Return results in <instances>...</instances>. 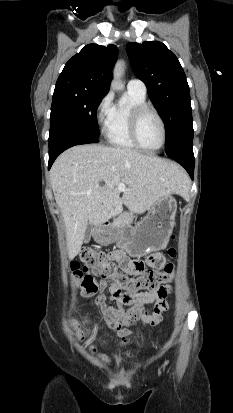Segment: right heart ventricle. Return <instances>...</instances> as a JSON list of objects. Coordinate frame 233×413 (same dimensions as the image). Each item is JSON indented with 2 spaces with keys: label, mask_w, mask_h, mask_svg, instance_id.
<instances>
[{
  "label": "right heart ventricle",
  "mask_w": 233,
  "mask_h": 413,
  "mask_svg": "<svg viewBox=\"0 0 233 413\" xmlns=\"http://www.w3.org/2000/svg\"><path fill=\"white\" fill-rule=\"evenodd\" d=\"M146 103V95L127 91L126 99L113 105L110 118L104 127V134L109 144L123 148L136 149L129 133L130 115L134 107Z\"/></svg>",
  "instance_id": "e07e8e85"
}]
</instances>
